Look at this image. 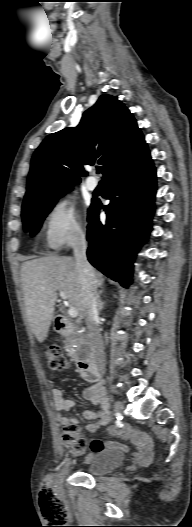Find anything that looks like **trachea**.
I'll return each instance as SVG.
<instances>
[{
    "instance_id": "trachea-1",
    "label": "trachea",
    "mask_w": 192,
    "mask_h": 527,
    "mask_svg": "<svg viewBox=\"0 0 192 527\" xmlns=\"http://www.w3.org/2000/svg\"><path fill=\"white\" fill-rule=\"evenodd\" d=\"M97 173H101V168H97Z\"/></svg>"
}]
</instances>
